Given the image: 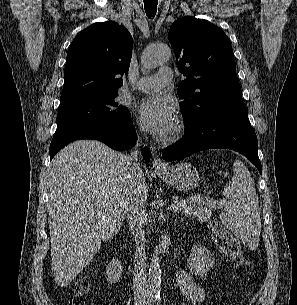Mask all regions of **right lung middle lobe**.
I'll return each instance as SVG.
<instances>
[{"label":"right lung middle lobe","instance_id":"obj_1","mask_svg":"<svg viewBox=\"0 0 297 305\" xmlns=\"http://www.w3.org/2000/svg\"><path fill=\"white\" fill-rule=\"evenodd\" d=\"M118 91L93 92L61 100L56 118L57 129L51 143L79 128L98 123H125L128 108L120 105Z\"/></svg>","mask_w":297,"mask_h":305}]
</instances>
